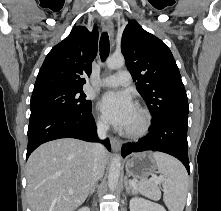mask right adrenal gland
Instances as JSON below:
<instances>
[{"mask_svg": "<svg viewBox=\"0 0 221 211\" xmlns=\"http://www.w3.org/2000/svg\"><path fill=\"white\" fill-rule=\"evenodd\" d=\"M95 187H96V185H95V186L92 188V190L90 191V195H92V194L94 193Z\"/></svg>", "mask_w": 221, "mask_h": 211, "instance_id": "obj_1", "label": "right adrenal gland"}]
</instances>
